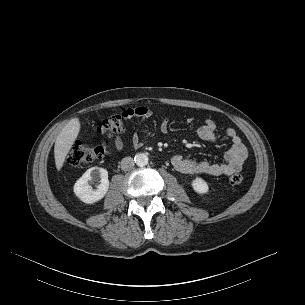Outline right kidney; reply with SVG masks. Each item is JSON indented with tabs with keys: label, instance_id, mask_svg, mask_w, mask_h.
I'll return each mask as SVG.
<instances>
[{
	"label": "right kidney",
	"instance_id": "right-kidney-1",
	"mask_svg": "<svg viewBox=\"0 0 305 305\" xmlns=\"http://www.w3.org/2000/svg\"><path fill=\"white\" fill-rule=\"evenodd\" d=\"M99 180L96 189L89 185L90 181ZM109 189L108 172L104 168L92 167L80 177L74 185L75 195L84 203L92 204L101 200Z\"/></svg>",
	"mask_w": 305,
	"mask_h": 305
}]
</instances>
